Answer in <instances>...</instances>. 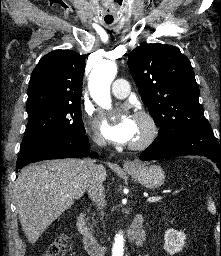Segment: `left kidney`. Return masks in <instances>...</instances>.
Wrapping results in <instances>:
<instances>
[{
	"label": "left kidney",
	"instance_id": "obj_1",
	"mask_svg": "<svg viewBox=\"0 0 221 256\" xmlns=\"http://www.w3.org/2000/svg\"><path fill=\"white\" fill-rule=\"evenodd\" d=\"M186 235L175 229H168L164 235V249L170 255H174L182 251L185 243Z\"/></svg>",
	"mask_w": 221,
	"mask_h": 256
}]
</instances>
